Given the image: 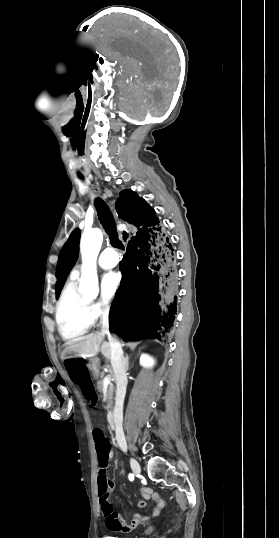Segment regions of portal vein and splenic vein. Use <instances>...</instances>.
Masks as SVG:
<instances>
[{"instance_id": "obj_1", "label": "portal vein and splenic vein", "mask_w": 279, "mask_h": 538, "mask_svg": "<svg viewBox=\"0 0 279 538\" xmlns=\"http://www.w3.org/2000/svg\"><path fill=\"white\" fill-rule=\"evenodd\" d=\"M109 378H110V376H106L105 381L103 382V385H104L105 387H108V386L110 385V380H109Z\"/></svg>"}]
</instances>
